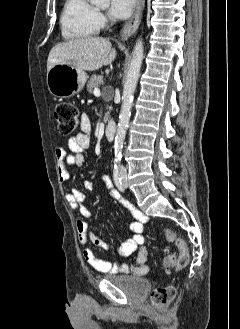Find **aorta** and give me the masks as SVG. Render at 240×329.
<instances>
[{
    "mask_svg": "<svg viewBox=\"0 0 240 329\" xmlns=\"http://www.w3.org/2000/svg\"><path fill=\"white\" fill-rule=\"evenodd\" d=\"M90 2L101 7H108L110 4V0H90ZM143 52V42L142 40L138 39L132 53L126 80L123 86V102L121 106L119 123L114 141L115 163H119L122 158V150L124 147L126 131L131 116L134 92L138 83L142 61L144 57Z\"/></svg>",
    "mask_w": 240,
    "mask_h": 329,
    "instance_id": "762f6f07",
    "label": "aorta"
}]
</instances>
